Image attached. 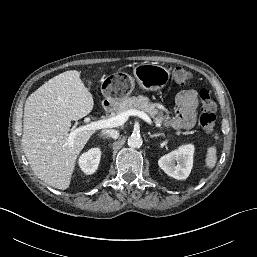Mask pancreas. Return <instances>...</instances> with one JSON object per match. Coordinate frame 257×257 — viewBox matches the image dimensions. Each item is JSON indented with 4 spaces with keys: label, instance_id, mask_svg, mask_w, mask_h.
<instances>
[{
    "label": "pancreas",
    "instance_id": "cf45deb5",
    "mask_svg": "<svg viewBox=\"0 0 257 257\" xmlns=\"http://www.w3.org/2000/svg\"><path fill=\"white\" fill-rule=\"evenodd\" d=\"M133 109L142 110L149 114L155 120L156 123H162V113L159 112L154 103L150 102L149 98L142 95L138 97L133 96L125 98L122 102L119 103L115 111L117 114H120L122 112H126Z\"/></svg>",
    "mask_w": 257,
    "mask_h": 257
}]
</instances>
